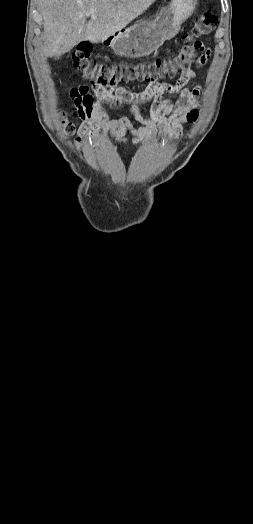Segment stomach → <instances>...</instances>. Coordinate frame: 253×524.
Listing matches in <instances>:
<instances>
[{
    "mask_svg": "<svg viewBox=\"0 0 253 524\" xmlns=\"http://www.w3.org/2000/svg\"><path fill=\"white\" fill-rule=\"evenodd\" d=\"M196 4L197 0H172L167 7L160 10L153 21H138L101 42L122 57L148 56L165 40L178 34L181 25L192 15Z\"/></svg>",
    "mask_w": 253,
    "mask_h": 524,
    "instance_id": "stomach-1",
    "label": "stomach"
}]
</instances>
